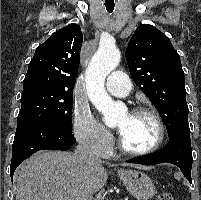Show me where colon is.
Segmentation results:
<instances>
[{"label":"colon","mask_w":201,"mask_h":200,"mask_svg":"<svg viewBox=\"0 0 201 200\" xmlns=\"http://www.w3.org/2000/svg\"><path fill=\"white\" fill-rule=\"evenodd\" d=\"M157 200H174V199L170 193L162 192L158 195Z\"/></svg>","instance_id":"5ec220e1"}]
</instances>
